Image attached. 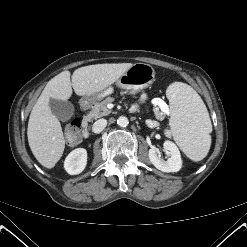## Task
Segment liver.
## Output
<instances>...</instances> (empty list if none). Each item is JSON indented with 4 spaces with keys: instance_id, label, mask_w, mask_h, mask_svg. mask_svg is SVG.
I'll list each match as a JSON object with an SVG mask.
<instances>
[{
    "instance_id": "liver-1",
    "label": "liver",
    "mask_w": 247,
    "mask_h": 247,
    "mask_svg": "<svg viewBox=\"0 0 247 247\" xmlns=\"http://www.w3.org/2000/svg\"><path fill=\"white\" fill-rule=\"evenodd\" d=\"M133 64H95L80 67L73 72L63 71L52 78L34 104L27 128L30 149L37 161L53 168L61 158L65 139L58 118L51 112L50 99L67 101L73 91L79 96H91L116 82Z\"/></svg>"
}]
</instances>
